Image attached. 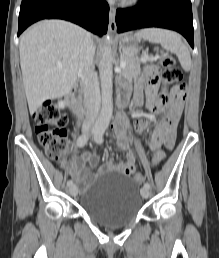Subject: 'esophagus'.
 I'll use <instances>...</instances> for the list:
<instances>
[{
	"label": "esophagus",
	"instance_id": "obj_1",
	"mask_svg": "<svg viewBox=\"0 0 219 258\" xmlns=\"http://www.w3.org/2000/svg\"><path fill=\"white\" fill-rule=\"evenodd\" d=\"M115 15H116V8L114 6H110L109 27H108L110 32H114L116 30Z\"/></svg>",
	"mask_w": 219,
	"mask_h": 258
}]
</instances>
